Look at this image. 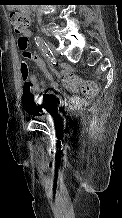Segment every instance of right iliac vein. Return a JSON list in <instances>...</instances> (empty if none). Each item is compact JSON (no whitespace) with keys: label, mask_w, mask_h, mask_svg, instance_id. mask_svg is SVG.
Listing matches in <instances>:
<instances>
[{"label":"right iliac vein","mask_w":122,"mask_h":218,"mask_svg":"<svg viewBox=\"0 0 122 218\" xmlns=\"http://www.w3.org/2000/svg\"><path fill=\"white\" fill-rule=\"evenodd\" d=\"M45 41H46L48 48L51 50L52 54L54 56H57L58 52H57V49L55 48V46L50 41H48V40H45Z\"/></svg>","instance_id":"63e3f726"}]
</instances>
